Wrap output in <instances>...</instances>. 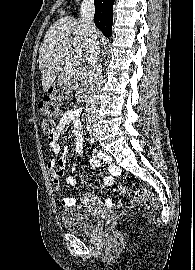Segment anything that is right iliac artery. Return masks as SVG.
<instances>
[{
    "instance_id": "1",
    "label": "right iliac artery",
    "mask_w": 195,
    "mask_h": 270,
    "mask_svg": "<svg viewBox=\"0 0 195 270\" xmlns=\"http://www.w3.org/2000/svg\"><path fill=\"white\" fill-rule=\"evenodd\" d=\"M89 141H90L91 144L94 143V139L92 137H90Z\"/></svg>"
}]
</instances>
